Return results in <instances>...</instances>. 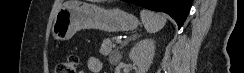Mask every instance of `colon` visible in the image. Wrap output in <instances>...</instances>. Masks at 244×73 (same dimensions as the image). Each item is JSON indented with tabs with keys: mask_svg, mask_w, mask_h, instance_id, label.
I'll list each match as a JSON object with an SVG mask.
<instances>
[{
	"mask_svg": "<svg viewBox=\"0 0 244 73\" xmlns=\"http://www.w3.org/2000/svg\"><path fill=\"white\" fill-rule=\"evenodd\" d=\"M79 58L77 55H69L56 66V73H76Z\"/></svg>",
	"mask_w": 244,
	"mask_h": 73,
	"instance_id": "1",
	"label": "colon"
}]
</instances>
